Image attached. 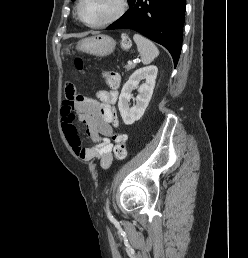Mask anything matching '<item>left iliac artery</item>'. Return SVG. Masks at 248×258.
<instances>
[{"mask_svg": "<svg viewBox=\"0 0 248 258\" xmlns=\"http://www.w3.org/2000/svg\"><path fill=\"white\" fill-rule=\"evenodd\" d=\"M106 208H107V211L109 212V201L107 199V202H106Z\"/></svg>", "mask_w": 248, "mask_h": 258, "instance_id": "1", "label": "left iliac artery"}]
</instances>
